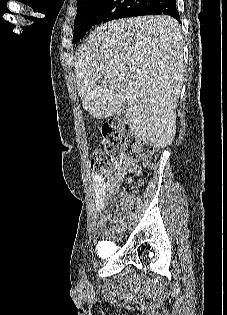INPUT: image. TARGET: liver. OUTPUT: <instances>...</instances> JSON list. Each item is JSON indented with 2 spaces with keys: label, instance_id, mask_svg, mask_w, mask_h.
Wrapping results in <instances>:
<instances>
[{
  "label": "liver",
  "instance_id": "obj_1",
  "mask_svg": "<svg viewBox=\"0 0 227 315\" xmlns=\"http://www.w3.org/2000/svg\"><path fill=\"white\" fill-rule=\"evenodd\" d=\"M184 68L183 35L174 18L111 21L97 27L79 48L78 95L96 119L124 110L138 138L163 148L176 133Z\"/></svg>",
  "mask_w": 227,
  "mask_h": 315
}]
</instances>
